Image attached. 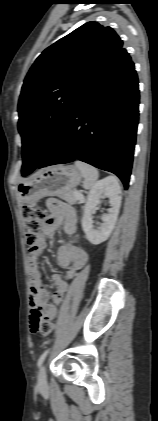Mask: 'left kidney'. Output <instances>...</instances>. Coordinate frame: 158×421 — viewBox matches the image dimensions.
Wrapping results in <instances>:
<instances>
[{"label":"left kidney","instance_id":"1","mask_svg":"<svg viewBox=\"0 0 158 421\" xmlns=\"http://www.w3.org/2000/svg\"><path fill=\"white\" fill-rule=\"evenodd\" d=\"M104 197L109 198L110 209L108 214L102 216L103 224L101 227L94 229L92 211ZM120 205L121 188L117 178L113 176L98 181L89 192L81 223L86 238L91 244L98 245L109 238L116 224Z\"/></svg>","mask_w":158,"mask_h":421}]
</instances>
